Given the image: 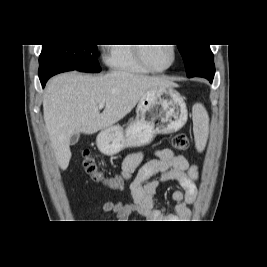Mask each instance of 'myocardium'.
<instances>
[{"instance_id": "1", "label": "myocardium", "mask_w": 267, "mask_h": 267, "mask_svg": "<svg viewBox=\"0 0 267 267\" xmlns=\"http://www.w3.org/2000/svg\"><path fill=\"white\" fill-rule=\"evenodd\" d=\"M169 45L171 46L173 57H172L171 63L164 68H157V67H154L153 65H151L149 63V61L147 60L146 55H145V47H146L145 44H138V46H136V54H137L139 61L145 67H147L150 71L158 72V73L159 72H165V71L171 69L177 60V48H176V46L174 44H169Z\"/></svg>"}]
</instances>
